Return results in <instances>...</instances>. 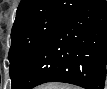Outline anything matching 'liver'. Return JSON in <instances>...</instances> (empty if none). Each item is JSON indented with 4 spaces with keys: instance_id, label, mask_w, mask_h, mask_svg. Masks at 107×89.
<instances>
[{
    "instance_id": "liver-1",
    "label": "liver",
    "mask_w": 107,
    "mask_h": 89,
    "mask_svg": "<svg viewBox=\"0 0 107 89\" xmlns=\"http://www.w3.org/2000/svg\"><path fill=\"white\" fill-rule=\"evenodd\" d=\"M56 85H58V84H55V83L47 84V85L40 86L39 89H55L54 87H55Z\"/></svg>"
}]
</instances>
